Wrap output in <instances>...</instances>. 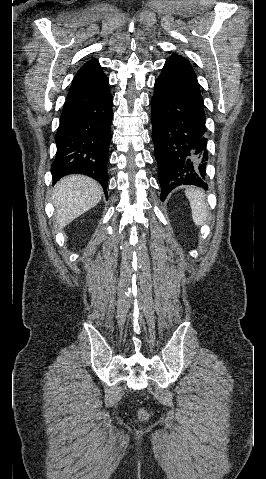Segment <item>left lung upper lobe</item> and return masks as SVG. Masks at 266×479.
Segmentation results:
<instances>
[{"mask_svg": "<svg viewBox=\"0 0 266 479\" xmlns=\"http://www.w3.org/2000/svg\"><path fill=\"white\" fill-rule=\"evenodd\" d=\"M167 61L176 63L194 73L189 61L180 55L173 54Z\"/></svg>", "mask_w": 266, "mask_h": 479, "instance_id": "1", "label": "left lung upper lobe"}]
</instances>
